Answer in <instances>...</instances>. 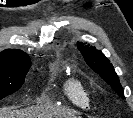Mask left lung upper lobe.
Instances as JSON below:
<instances>
[{
	"mask_svg": "<svg viewBox=\"0 0 133 118\" xmlns=\"http://www.w3.org/2000/svg\"><path fill=\"white\" fill-rule=\"evenodd\" d=\"M77 47L82 53L86 63L98 73L121 97L124 98L119 78L110 61L96 48L78 42Z\"/></svg>",
	"mask_w": 133,
	"mask_h": 118,
	"instance_id": "left-lung-upper-lobe-1",
	"label": "left lung upper lobe"
}]
</instances>
